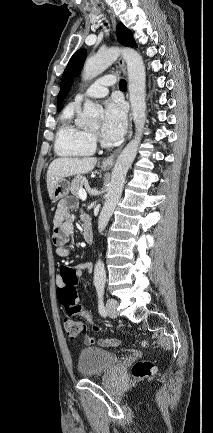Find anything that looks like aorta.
<instances>
[{"mask_svg":"<svg viewBox=\"0 0 213 433\" xmlns=\"http://www.w3.org/2000/svg\"><path fill=\"white\" fill-rule=\"evenodd\" d=\"M122 55L127 65L129 94L133 120L136 128L134 138L126 145L118 156L112 171V177L104 206L98 219V230L103 232L107 226L114 209L121 197L125 178L129 167L134 161L142 137L146 121V73L141 55L131 48H109L89 57L84 65L83 79L89 80L106 70L119 55ZM101 108L87 100L80 123L89 126L97 123ZM106 282V271L103 262L99 259L94 269V285L103 288Z\"/></svg>","mask_w":213,"mask_h":433,"instance_id":"1","label":"aorta"}]
</instances>
